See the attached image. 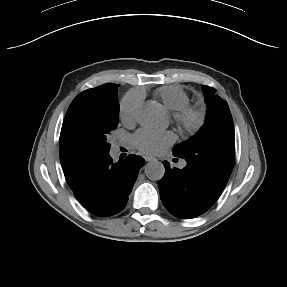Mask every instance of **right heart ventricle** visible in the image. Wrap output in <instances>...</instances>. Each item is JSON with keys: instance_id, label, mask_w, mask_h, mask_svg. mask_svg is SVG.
Instances as JSON below:
<instances>
[{"instance_id": "obj_1", "label": "right heart ventricle", "mask_w": 287, "mask_h": 287, "mask_svg": "<svg viewBox=\"0 0 287 287\" xmlns=\"http://www.w3.org/2000/svg\"><path fill=\"white\" fill-rule=\"evenodd\" d=\"M162 107L166 111L179 110L188 103L187 94L178 86L164 87L159 91Z\"/></svg>"}]
</instances>
